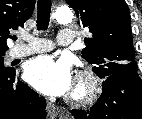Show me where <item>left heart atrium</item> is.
I'll list each match as a JSON object with an SVG mask.
<instances>
[{"instance_id":"left-heart-atrium-1","label":"left heart atrium","mask_w":142,"mask_h":119,"mask_svg":"<svg viewBox=\"0 0 142 119\" xmlns=\"http://www.w3.org/2000/svg\"><path fill=\"white\" fill-rule=\"evenodd\" d=\"M24 77L35 89L47 95H64L72 87L69 64L49 56L32 59L25 67Z\"/></svg>"}]
</instances>
